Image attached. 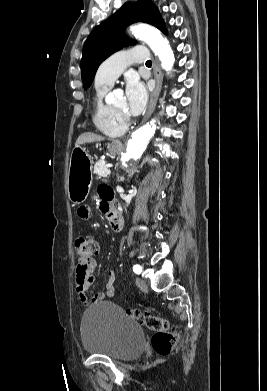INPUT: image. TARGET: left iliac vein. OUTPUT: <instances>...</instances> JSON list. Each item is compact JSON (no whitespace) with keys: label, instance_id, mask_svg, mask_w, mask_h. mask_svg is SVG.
I'll return each mask as SVG.
<instances>
[{"label":"left iliac vein","instance_id":"obj_1","mask_svg":"<svg viewBox=\"0 0 267 391\" xmlns=\"http://www.w3.org/2000/svg\"><path fill=\"white\" fill-rule=\"evenodd\" d=\"M136 285L141 289V290H146L147 289V284L144 279L141 277L136 278Z\"/></svg>","mask_w":267,"mask_h":391}]
</instances>
